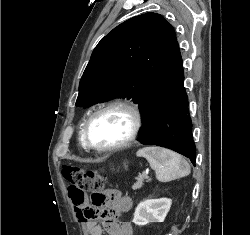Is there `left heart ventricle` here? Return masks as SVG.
Returning <instances> with one entry per match:
<instances>
[{"label":"left heart ventricle","instance_id":"b2bd125f","mask_svg":"<svg viewBox=\"0 0 250 235\" xmlns=\"http://www.w3.org/2000/svg\"><path fill=\"white\" fill-rule=\"evenodd\" d=\"M130 118L121 110H111L98 115L89 127L92 144L106 147L122 141L130 129Z\"/></svg>","mask_w":250,"mask_h":235}]
</instances>
